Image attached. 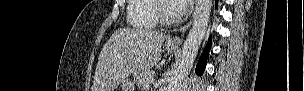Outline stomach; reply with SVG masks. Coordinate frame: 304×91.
Returning <instances> with one entry per match:
<instances>
[{
    "instance_id": "obj_1",
    "label": "stomach",
    "mask_w": 304,
    "mask_h": 91,
    "mask_svg": "<svg viewBox=\"0 0 304 91\" xmlns=\"http://www.w3.org/2000/svg\"><path fill=\"white\" fill-rule=\"evenodd\" d=\"M164 47H165V50L169 53L177 51L176 46H172L168 43H166ZM122 91H134L133 83L130 80L124 81L123 86H122Z\"/></svg>"
}]
</instances>
